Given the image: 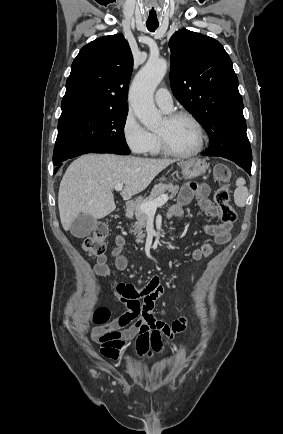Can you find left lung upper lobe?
I'll return each instance as SVG.
<instances>
[{"mask_svg": "<svg viewBox=\"0 0 283 434\" xmlns=\"http://www.w3.org/2000/svg\"><path fill=\"white\" fill-rule=\"evenodd\" d=\"M169 47L173 95L208 133L205 153L236 164L252 160L237 75L222 44L180 29L171 37Z\"/></svg>", "mask_w": 283, "mask_h": 434, "instance_id": "1", "label": "left lung upper lobe"}]
</instances>
